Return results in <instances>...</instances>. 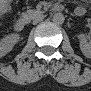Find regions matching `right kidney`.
<instances>
[{"label": "right kidney", "mask_w": 91, "mask_h": 91, "mask_svg": "<svg viewBox=\"0 0 91 91\" xmlns=\"http://www.w3.org/2000/svg\"><path fill=\"white\" fill-rule=\"evenodd\" d=\"M20 40L18 34H10L0 40V55L5 56L9 53L15 44Z\"/></svg>", "instance_id": "ca27d5eb"}]
</instances>
